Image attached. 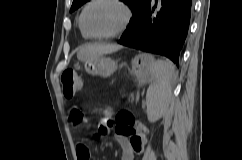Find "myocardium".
Returning <instances> with one entry per match:
<instances>
[{"mask_svg": "<svg viewBox=\"0 0 242 160\" xmlns=\"http://www.w3.org/2000/svg\"><path fill=\"white\" fill-rule=\"evenodd\" d=\"M101 1H109V2H112V3H115L116 5H118L123 13H124V20H123V23L122 25L115 31L113 32H110V33H106V34H94V33H91L85 26V22H84V17H85V13L87 11V9L97 3V2H101ZM131 19H132V11L130 9V7L127 5V3L124 1V0H90L82 9L81 11V14H80V18H79V23H80V26L82 28V30L84 31V33L90 37V38H93V39H111V38H114V37H117L121 34H123L127 28L129 27L130 25V22H131Z\"/></svg>", "mask_w": 242, "mask_h": 160, "instance_id": "myocardium-1", "label": "myocardium"}]
</instances>
